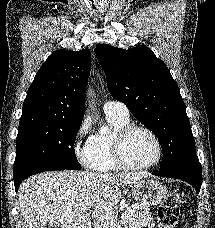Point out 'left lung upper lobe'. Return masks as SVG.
<instances>
[{"label":"left lung upper lobe","mask_w":215,"mask_h":228,"mask_svg":"<svg viewBox=\"0 0 215 228\" xmlns=\"http://www.w3.org/2000/svg\"><path fill=\"white\" fill-rule=\"evenodd\" d=\"M95 50L111 95L159 139L160 169L196 153L184 102L165 63L145 45L125 50L99 44Z\"/></svg>","instance_id":"left-lung-upper-lobe-1"}]
</instances>
